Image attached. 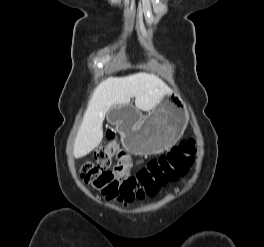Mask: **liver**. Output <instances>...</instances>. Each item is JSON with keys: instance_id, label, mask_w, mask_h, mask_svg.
Returning <instances> with one entry per match:
<instances>
[{"instance_id": "6515ba94", "label": "liver", "mask_w": 264, "mask_h": 247, "mask_svg": "<svg viewBox=\"0 0 264 247\" xmlns=\"http://www.w3.org/2000/svg\"><path fill=\"white\" fill-rule=\"evenodd\" d=\"M170 88L155 75L137 73L127 77L108 78L96 88L74 143V157L81 158L95 149L103 138L102 123L107 111L115 105L130 103L135 97L138 109H153Z\"/></svg>"}]
</instances>
